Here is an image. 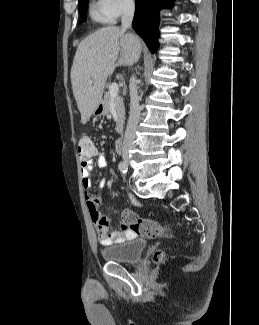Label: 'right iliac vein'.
<instances>
[{
  "label": "right iliac vein",
  "instance_id": "right-iliac-vein-1",
  "mask_svg": "<svg viewBox=\"0 0 259 325\" xmlns=\"http://www.w3.org/2000/svg\"><path fill=\"white\" fill-rule=\"evenodd\" d=\"M123 159H124L125 163H128V162H129V156H128L127 153H125V154L123 155Z\"/></svg>",
  "mask_w": 259,
  "mask_h": 325
}]
</instances>
